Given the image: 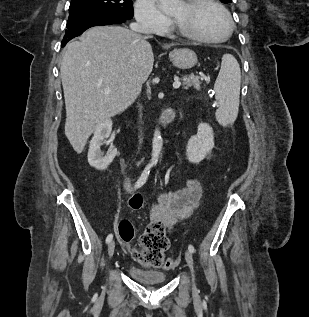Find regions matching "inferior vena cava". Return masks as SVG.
<instances>
[{
	"mask_svg": "<svg viewBox=\"0 0 309 317\" xmlns=\"http://www.w3.org/2000/svg\"><path fill=\"white\" fill-rule=\"evenodd\" d=\"M130 28L133 30V31H137V32H145V30L137 23H132L130 25ZM140 108V111H141V106H139ZM142 139H140V143H141Z\"/></svg>",
	"mask_w": 309,
	"mask_h": 317,
	"instance_id": "inferior-vena-cava-1",
	"label": "inferior vena cava"
}]
</instances>
